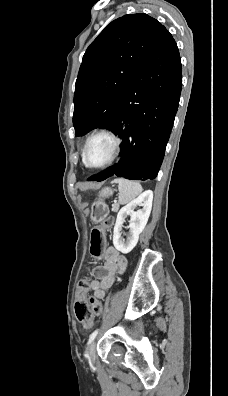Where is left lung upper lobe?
<instances>
[{
	"label": "left lung upper lobe",
	"instance_id": "1",
	"mask_svg": "<svg viewBox=\"0 0 228 396\" xmlns=\"http://www.w3.org/2000/svg\"><path fill=\"white\" fill-rule=\"evenodd\" d=\"M144 13L115 19L87 48L74 93L75 136L109 129L133 79L163 28Z\"/></svg>",
	"mask_w": 228,
	"mask_h": 396
}]
</instances>
